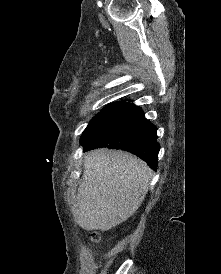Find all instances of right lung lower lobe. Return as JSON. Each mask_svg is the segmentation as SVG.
Returning a JSON list of instances; mask_svg holds the SVG:
<instances>
[{
	"label": "right lung lower lobe",
	"mask_w": 221,
	"mask_h": 274,
	"mask_svg": "<svg viewBox=\"0 0 221 274\" xmlns=\"http://www.w3.org/2000/svg\"><path fill=\"white\" fill-rule=\"evenodd\" d=\"M156 127L144 117L142 109L131 104L114 122L89 142L81 144L85 150L107 147L137 155L156 170L160 146Z\"/></svg>",
	"instance_id": "98d812e1"
}]
</instances>
